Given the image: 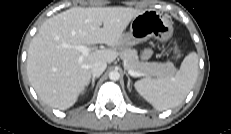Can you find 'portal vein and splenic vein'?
I'll list each match as a JSON object with an SVG mask.
<instances>
[{"instance_id": "obj_1", "label": "portal vein and splenic vein", "mask_w": 231, "mask_h": 134, "mask_svg": "<svg viewBox=\"0 0 231 134\" xmlns=\"http://www.w3.org/2000/svg\"><path fill=\"white\" fill-rule=\"evenodd\" d=\"M76 49L79 50L83 55H88L89 52L91 51V48H89L87 46H84V45H78V46H76ZM128 73L133 77L144 76L143 73L136 72V71H133V70H128Z\"/></svg>"}]
</instances>
